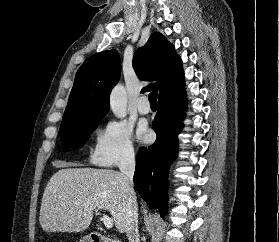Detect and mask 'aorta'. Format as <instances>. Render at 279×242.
<instances>
[{
    "label": "aorta",
    "instance_id": "1",
    "mask_svg": "<svg viewBox=\"0 0 279 242\" xmlns=\"http://www.w3.org/2000/svg\"><path fill=\"white\" fill-rule=\"evenodd\" d=\"M110 107L114 115L124 118L127 115V94L122 85H117L110 95Z\"/></svg>",
    "mask_w": 279,
    "mask_h": 242
}]
</instances>
